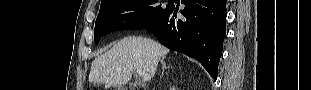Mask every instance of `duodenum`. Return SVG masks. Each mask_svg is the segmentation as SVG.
Instances as JSON below:
<instances>
[{"mask_svg": "<svg viewBox=\"0 0 311 90\" xmlns=\"http://www.w3.org/2000/svg\"><path fill=\"white\" fill-rule=\"evenodd\" d=\"M141 89H145V87H137L134 90H141Z\"/></svg>", "mask_w": 311, "mask_h": 90, "instance_id": "1", "label": "duodenum"}]
</instances>
